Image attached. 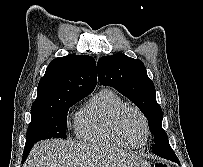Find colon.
Listing matches in <instances>:
<instances>
[{"label": "colon", "instance_id": "obj_1", "mask_svg": "<svg viewBox=\"0 0 203 167\" xmlns=\"http://www.w3.org/2000/svg\"><path fill=\"white\" fill-rule=\"evenodd\" d=\"M155 167H168V166L164 163H156Z\"/></svg>", "mask_w": 203, "mask_h": 167}]
</instances>
